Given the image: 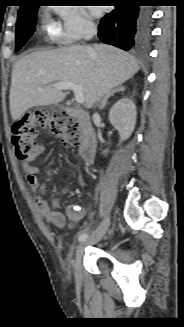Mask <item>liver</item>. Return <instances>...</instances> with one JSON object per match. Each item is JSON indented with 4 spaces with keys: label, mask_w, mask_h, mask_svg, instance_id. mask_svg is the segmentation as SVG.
<instances>
[{
    "label": "liver",
    "mask_w": 184,
    "mask_h": 327,
    "mask_svg": "<svg viewBox=\"0 0 184 327\" xmlns=\"http://www.w3.org/2000/svg\"><path fill=\"white\" fill-rule=\"evenodd\" d=\"M138 71L132 55L102 43L32 52L13 66L9 97L11 117L17 120L32 107L63 101L66 93L53 87L62 82H73L81 87L85 107L90 109Z\"/></svg>",
    "instance_id": "liver-1"
}]
</instances>
